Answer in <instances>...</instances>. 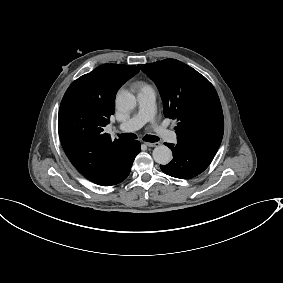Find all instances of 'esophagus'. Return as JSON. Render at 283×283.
<instances>
[{"label":"esophagus","instance_id":"obj_1","mask_svg":"<svg viewBox=\"0 0 283 283\" xmlns=\"http://www.w3.org/2000/svg\"><path fill=\"white\" fill-rule=\"evenodd\" d=\"M145 144L149 147H157L160 145L159 142H145Z\"/></svg>","mask_w":283,"mask_h":283}]
</instances>
